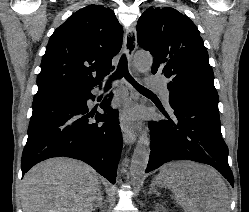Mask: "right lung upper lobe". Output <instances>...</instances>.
Segmentation results:
<instances>
[{
	"instance_id": "1",
	"label": "right lung upper lobe",
	"mask_w": 249,
	"mask_h": 212,
	"mask_svg": "<svg viewBox=\"0 0 249 212\" xmlns=\"http://www.w3.org/2000/svg\"><path fill=\"white\" fill-rule=\"evenodd\" d=\"M122 38L123 29L111 9L89 5L75 12L49 39L34 98L100 85L114 70L111 60Z\"/></svg>"
}]
</instances>
